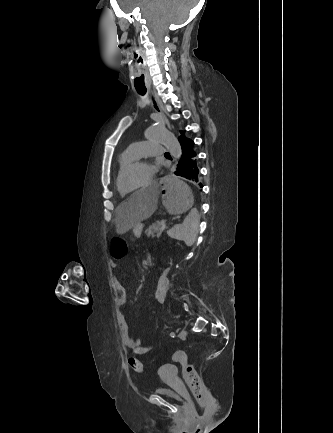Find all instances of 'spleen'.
Listing matches in <instances>:
<instances>
[{
    "label": "spleen",
    "instance_id": "3e777b00",
    "mask_svg": "<svg viewBox=\"0 0 333 433\" xmlns=\"http://www.w3.org/2000/svg\"><path fill=\"white\" fill-rule=\"evenodd\" d=\"M199 217L200 214L196 209L190 210L184 221L174 225L168 231V235L176 240L184 241L187 246H192L196 242L199 231Z\"/></svg>",
    "mask_w": 333,
    "mask_h": 433
}]
</instances>
